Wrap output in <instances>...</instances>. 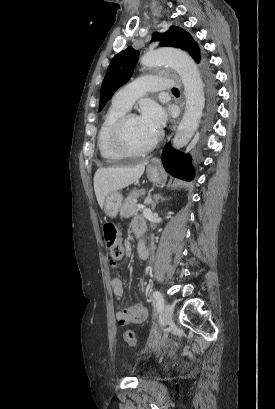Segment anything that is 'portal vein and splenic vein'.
<instances>
[{"mask_svg":"<svg viewBox=\"0 0 275 409\" xmlns=\"http://www.w3.org/2000/svg\"><path fill=\"white\" fill-rule=\"evenodd\" d=\"M137 209H145V205H137Z\"/></svg>","mask_w":275,"mask_h":409,"instance_id":"18ae733b","label":"portal vein and splenic vein"}]
</instances>
